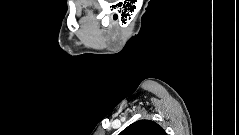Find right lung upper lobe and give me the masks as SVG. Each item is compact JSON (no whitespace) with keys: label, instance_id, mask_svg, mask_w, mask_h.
<instances>
[{"label":"right lung upper lobe","instance_id":"obj_1","mask_svg":"<svg viewBox=\"0 0 239 135\" xmlns=\"http://www.w3.org/2000/svg\"><path fill=\"white\" fill-rule=\"evenodd\" d=\"M119 135H167L162 127L151 120H139L125 128Z\"/></svg>","mask_w":239,"mask_h":135}]
</instances>
